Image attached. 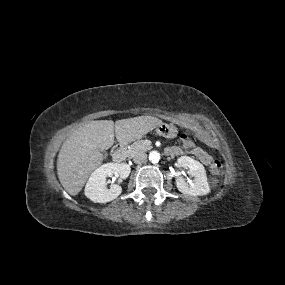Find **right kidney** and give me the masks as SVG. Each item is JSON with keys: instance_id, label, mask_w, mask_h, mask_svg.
<instances>
[{"instance_id": "obj_1", "label": "right kidney", "mask_w": 285, "mask_h": 285, "mask_svg": "<svg viewBox=\"0 0 285 285\" xmlns=\"http://www.w3.org/2000/svg\"><path fill=\"white\" fill-rule=\"evenodd\" d=\"M130 174V166L126 163H106L97 168L89 177L85 186V196L96 203H107L116 199L122 192L118 184L107 188L106 179L109 176L119 177V181Z\"/></svg>"}]
</instances>
